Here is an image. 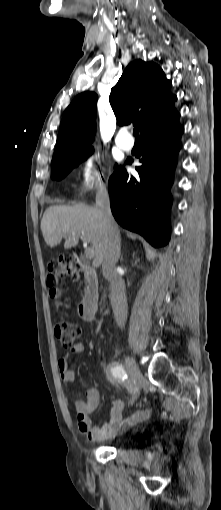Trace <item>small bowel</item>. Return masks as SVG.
<instances>
[{
    "instance_id": "obj_1",
    "label": "small bowel",
    "mask_w": 221,
    "mask_h": 510,
    "mask_svg": "<svg viewBox=\"0 0 221 510\" xmlns=\"http://www.w3.org/2000/svg\"><path fill=\"white\" fill-rule=\"evenodd\" d=\"M85 350V345L78 342L72 346L70 351L65 353L58 361V371L62 382L70 385L74 381V372L71 369L74 354H80ZM84 400H76L73 407L77 412L78 424L82 432H84L90 440L102 441L111 439L126 429L144 421L151 414V409L141 408L131 415L123 418L122 411L125 404L120 399L112 401L109 411V419L107 422L96 425L91 415L97 411L101 403V395L96 387H89L85 392Z\"/></svg>"
}]
</instances>
